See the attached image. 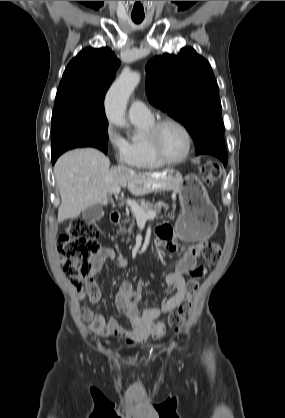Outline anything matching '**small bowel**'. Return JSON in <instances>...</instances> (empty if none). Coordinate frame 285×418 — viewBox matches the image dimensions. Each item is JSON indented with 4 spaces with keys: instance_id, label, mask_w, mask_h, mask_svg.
<instances>
[{
    "instance_id": "small-bowel-1",
    "label": "small bowel",
    "mask_w": 285,
    "mask_h": 418,
    "mask_svg": "<svg viewBox=\"0 0 285 418\" xmlns=\"http://www.w3.org/2000/svg\"><path fill=\"white\" fill-rule=\"evenodd\" d=\"M156 235L161 245L170 252H176L178 246L173 240V233L169 229L157 228ZM202 250V244L190 246L175 263L173 270L165 277V283L173 287L172 292L166 296L159 307H150L139 312L138 304L141 300L143 285L140 283L133 288L129 281H123L116 294V307L127 319V327L119 319L111 317L106 319L103 315L95 313L92 309H82L81 317L87 322L90 333L100 337L125 336L127 342L143 343L149 337L159 340L163 333L157 328L156 320L164 315H169L176 310L187 295L185 274L201 276L205 268L197 266L196 260ZM107 261H111L116 268H125L128 264L127 257L116 255L114 250L104 247L91 258L94 274L98 273ZM79 299H88L91 304H97L102 293L92 280L86 287H75Z\"/></svg>"
}]
</instances>
